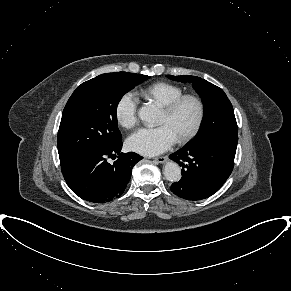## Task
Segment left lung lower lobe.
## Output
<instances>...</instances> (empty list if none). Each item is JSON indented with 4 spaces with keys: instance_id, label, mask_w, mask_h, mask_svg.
Listing matches in <instances>:
<instances>
[{
    "instance_id": "left-lung-lower-lobe-1",
    "label": "left lung lower lobe",
    "mask_w": 291,
    "mask_h": 291,
    "mask_svg": "<svg viewBox=\"0 0 291 291\" xmlns=\"http://www.w3.org/2000/svg\"><path fill=\"white\" fill-rule=\"evenodd\" d=\"M237 143V134L220 133L171 154L170 159L182 166V177L170 190L187 200L213 195L233 170Z\"/></svg>"
}]
</instances>
